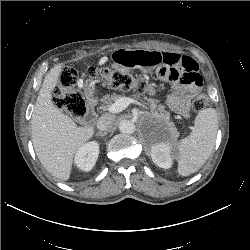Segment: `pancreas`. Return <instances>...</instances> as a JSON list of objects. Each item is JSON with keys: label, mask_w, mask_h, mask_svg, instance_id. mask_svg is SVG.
<instances>
[{"label": "pancreas", "mask_w": 250, "mask_h": 250, "mask_svg": "<svg viewBox=\"0 0 250 250\" xmlns=\"http://www.w3.org/2000/svg\"><path fill=\"white\" fill-rule=\"evenodd\" d=\"M121 98L120 95L112 94V95H105L101 99L103 104L100 106V109L107 110L108 107L116 100ZM159 101L155 99H147V105H149L150 111L154 117H157L163 121H165L169 127V130L172 132L174 138L178 137V132L173 123L169 122V112L165 110V107L162 104H158Z\"/></svg>", "instance_id": "1"}]
</instances>
